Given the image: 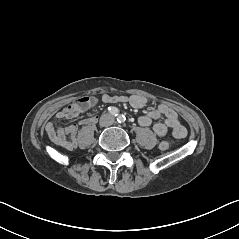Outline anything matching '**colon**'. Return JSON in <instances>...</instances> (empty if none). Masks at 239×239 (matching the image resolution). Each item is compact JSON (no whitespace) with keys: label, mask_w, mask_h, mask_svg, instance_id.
<instances>
[{"label":"colon","mask_w":239,"mask_h":239,"mask_svg":"<svg viewBox=\"0 0 239 239\" xmlns=\"http://www.w3.org/2000/svg\"><path fill=\"white\" fill-rule=\"evenodd\" d=\"M89 102V98H81L77 102L78 106H85ZM159 148L161 151H167L169 149V143L167 141H163L159 144Z\"/></svg>","instance_id":"obj_1"}]
</instances>
